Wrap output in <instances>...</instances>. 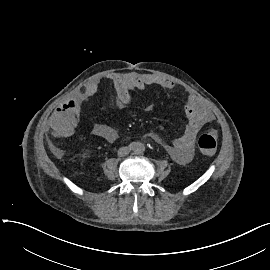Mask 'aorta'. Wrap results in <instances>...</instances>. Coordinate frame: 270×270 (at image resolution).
Instances as JSON below:
<instances>
[{"instance_id": "obj_1", "label": "aorta", "mask_w": 270, "mask_h": 270, "mask_svg": "<svg viewBox=\"0 0 270 270\" xmlns=\"http://www.w3.org/2000/svg\"><path fill=\"white\" fill-rule=\"evenodd\" d=\"M132 149L135 153L139 154L145 151V145L141 142H133Z\"/></svg>"}]
</instances>
